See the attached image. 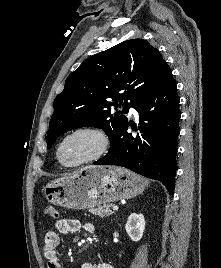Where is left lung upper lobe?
Listing matches in <instances>:
<instances>
[{
  "label": "left lung upper lobe",
  "mask_w": 221,
  "mask_h": 268,
  "mask_svg": "<svg viewBox=\"0 0 221 268\" xmlns=\"http://www.w3.org/2000/svg\"><path fill=\"white\" fill-rule=\"evenodd\" d=\"M172 77L158 50L143 39L91 56L68 76L54 100L47 147L68 130L84 126L104 129L111 141L127 122L123 114ZM112 106L120 110L111 112Z\"/></svg>",
  "instance_id": "5c2ea615"
}]
</instances>
